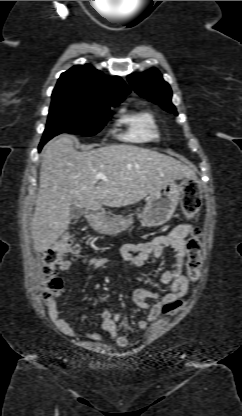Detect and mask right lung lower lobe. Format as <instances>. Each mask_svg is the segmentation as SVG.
<instances>
[{
	"label": "right lung lower lobe",
	"instance_id": "98d812e1",
	"mask_svg": "<svg viewBox=\"0 0 242 416\" xmlns=\"http://www.w3.org/2000/svg\"><path fill=\"white\" fill-rule=\"evenodd\" d=\"M45 143H43V142H41L40 143V145H39V150H41V148H42V146L44 145Z\"/></svg>",
	"mask_w": 242,
	"mask_h": 416
}]
</instances>
